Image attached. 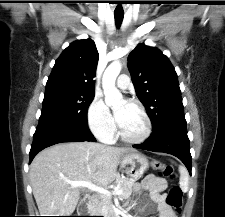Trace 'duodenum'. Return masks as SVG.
Segmentation results:
<instances>
[{
    "label": "duodenum",
    "instance_id": "obj_1",
    "mask_svg": "<svg viewBox=\"0 0 225 217\" xmlns=\"http://www.w3.org/2000/svg\"><path fill=\"white\" fill-rule=\"evenodd\" d=\"M83 213H87V208L86 207L83 208ZM109 217H123V215L120 214V213H115V214H113V215H111Z\"/></svg>",
    "mask_w": 225,
    "mask_h": 217
}]
</instances>
